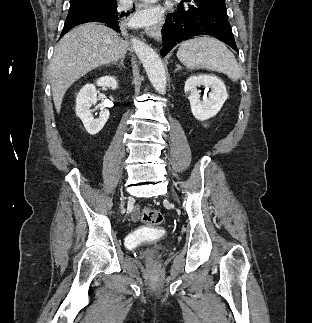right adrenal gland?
<instances>
[{
  "instance_id": "2a0ac1e0",
  "label": "right adrenal gland",
  "mask_w": 312,
  "mask_h": 323,
  "mask_svg": "<svg viewBox=\"0 0 312 323\" xmlns=\"http://www.w3.org/2000/svg\"><path fill=\"white\" fill-rule=\"evenodd\" d=\"M124 60H125V58H121V60L119 62L120 66H122V68H125V66H124ZM114 66H116V64H114Z\"/></svg>"
}]
</instances>
